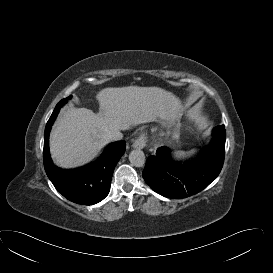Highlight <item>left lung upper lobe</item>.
<instances>
[{
	"instance_id": "1",
	"label": "left lung upper lobe",
	"mask_w": 273,
	"mask_h": 273,
	"mask_svg": "<svg viewBox=\"0 0 273 273\" xmlns=\"http://www.w3.org/2000/svg\"><path fill=\"white\" fill-rule=\"evenodd\" d=\"M224 125L216 126L213 130V140L220 142L222 145H225L226 140V131Z\"/></svg>"
}]
</instances>
